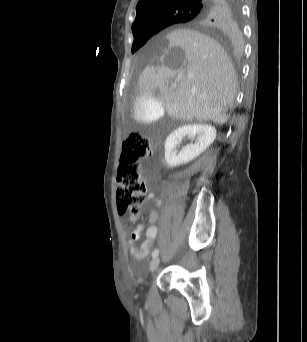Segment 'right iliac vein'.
<instances>
[{"mask_svg": "<svg viewBox=\"0 0 307 342\" xmlns=\"http://www.w3.org/2000/svg\"><path fill=\"white\" fill-rule=\"evenodd\" d=\"M159 263H160L159 257L153 258V260L150 263V270H151V272H154L157 269Z\"/></svg>", "mask_w": 307, "mask_h": 342, "instance_id": "right-iliac-vein-1", "label": "right iliac vein"}]
</instances>
